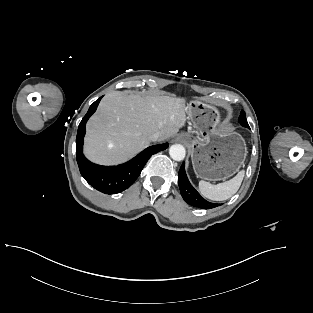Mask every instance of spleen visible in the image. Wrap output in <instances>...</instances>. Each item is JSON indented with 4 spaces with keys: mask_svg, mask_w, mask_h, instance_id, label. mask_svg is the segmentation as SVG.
<instances>
[{
    "mask_svg": "<svg viewBox=\"0 0 313 313\" xmlns=\"http://www.w3.org/2000/svg\"><path fill=\"white\" fill-rule=\"evenodd\" d=\"M245 171L241 170L232 179L213 185L206 181H199L200 193L205 197L213 201H224L232 197L239 189L242 180L244 178Z\"/></svg>",
    "mask_w": 313,
    "mask_h": 313,
    "instance_id": "1",
    "label": "spleen"
}]
</instances>
